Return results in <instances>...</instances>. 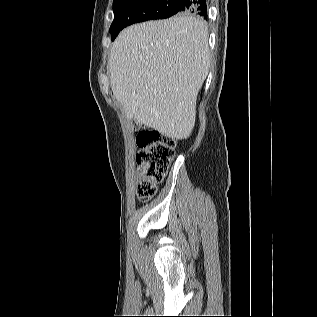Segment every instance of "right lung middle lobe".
Listing matches in <instances>:
<instances>
[{"label": "right lung middle lobe", "mask_w": 317, "mask_h": 317, "mask_svg": "<svg viewBox=\"0 0 317 317\" xmlns=\"http://www.w3.org/2000/svg\"><path fill=\"white\" fill-rule=\"evenodd\" d=\"M177 0H114V20L110 27L112 41L125 27L147 20L163 19L179 14L192 16L193 13L181 12Z\"/></svg>", "instance_id": "dd1d6c3e"}]
</instances>
